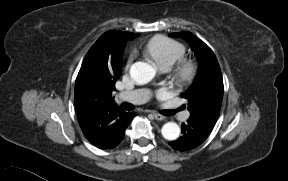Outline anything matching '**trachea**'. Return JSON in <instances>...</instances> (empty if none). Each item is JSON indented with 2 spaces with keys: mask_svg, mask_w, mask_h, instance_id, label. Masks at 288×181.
Returning a JSON list of instances; mask_svg holds the SVG:
<instances>
[{
  "mask_svg": "<svg viewBox=\"0 0 288 181\" xmlns=\"http://www.w3.org/2000/svg\"><path fill=\"white\" fill-rule=\"evenodd\" d=\"M121 106L125 110H133V106L131 104H129V103H122ZM178 110H170V111L164 112L162 114H164V115H174Z\"/></svg>",
  "mask_w": 288,
  "mask_h": 181,
  "instance_id": "3493384b",
  "label": "trachea"
}]
</instances>
